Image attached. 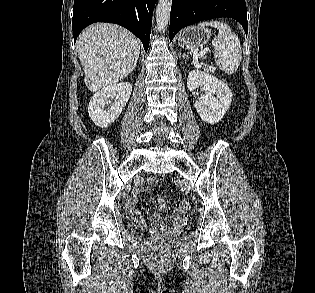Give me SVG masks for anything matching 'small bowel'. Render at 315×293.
<instances>
[{"label":"small bowel","mask_w":315,"mask_h":293,"mask_svg":"<svg viewBox=\"0 0 315 293\" xmlns=\"http://www.w3.org/2000/svg\"><path fill=\"white\" fill-rule=\"evenodd\" d=\"M156 179H157L156 177L148 178L139 187L138 190L139 191H145V190L149 189L153 185V183L156 181ZM136 205H137V198L135 196L131 197L126 204L127 212L134 221H136L139 224H143L144 219H143L141 213L137 210ZM158 207H159V210H161V211L168 210V206L162 197H160L158 199ZM185 216H186L185 211H175L174 217L168 218L166 221L171 222L173 220H182L183 218H185ZM152 222L154 225H160L162 223V219L158 213H156L152 216Z\"/></svg>","instance_id":"1"}]
</instances>
